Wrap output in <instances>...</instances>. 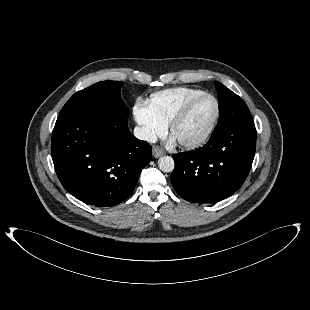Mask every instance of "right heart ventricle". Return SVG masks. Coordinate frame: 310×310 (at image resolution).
<instances>
[{"instance_id":"1","label":"right heart ventricle","mask_w":310,"mask_h":310,"mask_svg":"<svg viewBox=\"0 0 310 310\" xmlns=\"http://www.w3.org/2000/svg\"><path fill=\"white\" fill-rule=\"evenodd\" d=\"M201 93L204 92L188 87L170 88L153 93L147 103L155 116L168 124L185 102Z\"/></svg>"}]
</instances>
